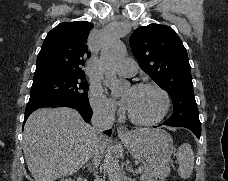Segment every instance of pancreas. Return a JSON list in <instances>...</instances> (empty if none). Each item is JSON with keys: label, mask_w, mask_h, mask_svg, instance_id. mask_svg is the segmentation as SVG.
<instances>
[{"label": "pancreas", "mask_w": 228, "mask_h": 181, "mask_svg": "<svg viewBox=\"0 0 228 181\" xmlns=\"http://www.w3.org/2000/svg\"><path fill=\"white\" fill-rule=\"evenodd\" d=\"M141 169H142L141 173H144V175H142V181H147V179H150V177H147L148 175L147 169H144V167H141ZM161 181H165V179H161Z\"/></svg>", "instance_id": "cf45deb5"}]
</instances>
